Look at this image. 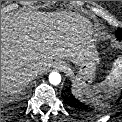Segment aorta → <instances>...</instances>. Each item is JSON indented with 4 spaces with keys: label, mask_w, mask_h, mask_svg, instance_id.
Masks as SVG:
<instances>
[{
    "label": "aorta",
    "mask_w": 122,
    "mask_h": 122,
    "mask_svg": "<svg viewBox=\"0 0 122 122\" xmlns=\"http://www.w3.org/2000/svg\"><path fill=\"white\" fill-rule=\"evenodd\" d=\"M49 82L53 85H58L61 82V75L56 71L51 72L49 74Z\"/></svg>",
    "instance_id": "aorta-1"
}]
</instances>
